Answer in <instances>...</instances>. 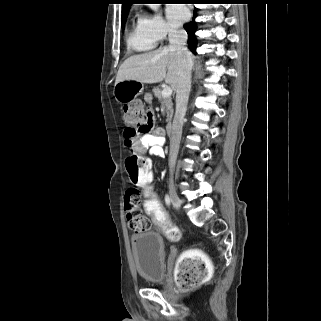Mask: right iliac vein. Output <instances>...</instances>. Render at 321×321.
<instances>
[{
	"label": "right iliac vein",
	"mask_w": 321,
	"mask_h": 321,
	"mask_svg": "<svg viewBox=\"0 0 321 321\" xmlns=\"http://www.w3.org/2000/svg\"><path fill=\"white\" fill-rule=\"evenodd\" d=\"M169 195H170V199H171V202H172L174 208L176 210H179L180 206H181V200H180L179 196L177 195L175 186L172 181H170V183H169Z\"/></svg>",
	"instance_id": "obj_1"
}]
</instances>
